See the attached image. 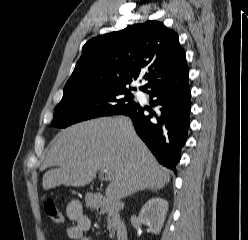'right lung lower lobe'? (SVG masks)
Segmentation results:
<instances>
[{
	"mask_svg": "<svg viewBox=\"0 0 248 240\" xmlns=\"http://www.w3.org/2000/svg\"><path fill=\"white\" fill-rule=\"evenodd\" d=\"M188 77L186 69L151 85L148 91L145 90L152 99L150 104L157 107L156 111L137 103L117 113L132 119L137 134L157 160L175 173L190 126L191 95Z\"/></svg>",
	"mask_w": 248,
	"mask_h": 240,
	"instance_id": "obj_1",
	"label": "right lung lower lobe"
}]
</instances>
